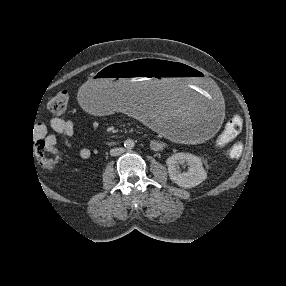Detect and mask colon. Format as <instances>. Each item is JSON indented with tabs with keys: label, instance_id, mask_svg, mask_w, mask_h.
<instances>
[{
	"label": "colon",
	"instance_id": "1",
	"mask_svg": "<svg viewBox=\"0 0 286 286\" xmlns=\"http://www.w3.org/2000/svg\"><path fill=\"white\" fill-rule=\"evenodd\" d=\"M69 96L66 92H60L47 103V109L54 115H64L68 111ZM242 117L234 115L226 124L217 141L218 147H224L232 142L241 132ZM236 149L235 152H238ZM34 152L39 164L45 169H52L58 160L57 150L46 140L40 139L35 142Z\"/></svg>",
	"mask_w": 286,
	"mask_h": 286
}]
</instances>
